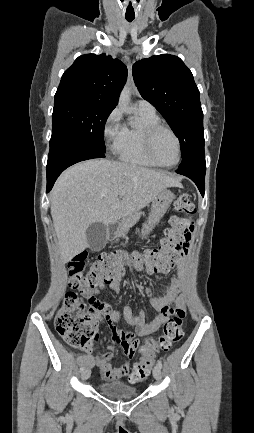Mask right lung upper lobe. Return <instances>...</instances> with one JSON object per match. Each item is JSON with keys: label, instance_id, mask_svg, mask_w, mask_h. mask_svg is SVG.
I'll list each match as a JSON object with an SVG mask.
<instances>
[{"label": "right lung upper lobe", "instance_id": "obj_1", "mask_svg": "<svg viewBox=\"0 0 254 433\" xmlns=\"http://www.w3.org/2000/svg\"><path fill=\"white\" fill-rule=\"evenodd\" d=\"M127 79V68L105 54L78 57L62 75L54 105L96 103L114 109Z\"/></svg>", "mask_w": 254, "mask_h": 433}]
</instances>
